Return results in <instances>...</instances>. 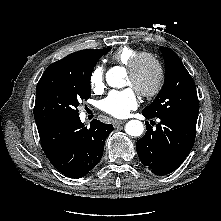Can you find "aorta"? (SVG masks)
Here are the masks:
<instances>
[{"instance_id": "762f6f07", "label": "aorta", "mask_w": 221, "mask_h": 221, "mask_svg": "<svg viewBox=\"0 0 221 221\" xmlns=\"http://www.w3.org/2000/svg\"><path fill=\"white\" fill-rule=\"evenodd\" d=\"M123 71L120 67H113L106 73L107 84L114 88L122 87ZM144 131L143 123L139 120H130L125 126V132L138 137Z\"/></svg>"}]
</instances>
